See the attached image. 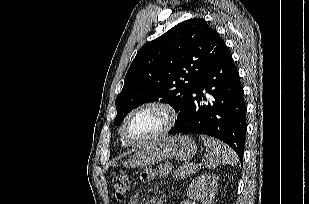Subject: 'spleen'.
<instances>
[{"instance_id":"3e777b00","label":"spleen","mask_w":309,"mask_h":204,"mask_svg":"<svg viewBox=\"0 0 309 204\" xmlns=\"http://www.w3.org/2000/svg\"><path fill=\"white\" fill-rule=\"evenodd\" d=\"M204 145L208 151L204 163L208 169H215L220 165L236 164L238 157L236 153L225 143L212 137L201 135Z\"/></svg>"}]
</instances>
